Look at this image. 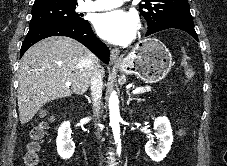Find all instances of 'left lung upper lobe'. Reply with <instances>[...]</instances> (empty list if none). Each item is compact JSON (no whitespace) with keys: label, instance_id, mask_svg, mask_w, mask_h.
Listing matches in <instances>:
<instances>
[{"label":"left lung upper lobe","instance_id":"5c2ea615","mask_svg":"<svg viewBox=\"0 0 227 166\" xmlns=\"http://www.w3.org/2000/svg\"><path fill=\"white\" fill-rule=\"evenodd\" d=\"M140 13L148 24L147 35L161 31L169 26L192 22L187 0H143Z\"/></svg>","mask_w":227,"mask_h":166}]
</instances>
